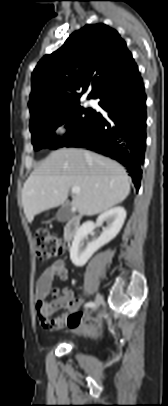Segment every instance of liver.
<instances>
[{"mask_svg":"<svg viewBox=\"0 0 168 406\" xmlns=\"http://www.w3.org/2000/svg\"><path fill=\"white\" fill-rule=\"evenodd\" d=\"M130 178L116 161L84 149L56 150L30 174L22 189L29 223L50 208L62 205L70 188L78 186L72 206L86 216L105 212L130 193Z\"/></svg>","mask_w":168,"mask_h":406,"instance_id":"obj_1","label":"liver"}]
</instances>
